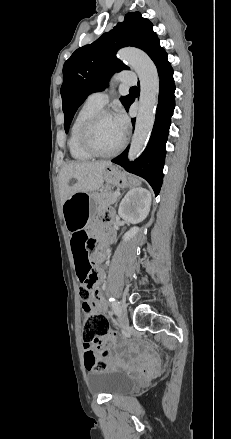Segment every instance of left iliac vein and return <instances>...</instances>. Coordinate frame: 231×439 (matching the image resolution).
<instances>
[{"mask_svg":"<svg viewBox=\"0 0 231 439\" xmlns=\"http://www.w3.org/2000/svg\"><path fill=\"white\" fill-rule=\"evenodd\" d=\"M116 314L119 317L118 320L120 325L126 328L129 324L126 308L123 306H119L118 310L116 311Z\"/></svg>","mask_w":231,"mask_h":439,"instance_id":"obj_1","label":"left iliac vein"}]
</instances>
